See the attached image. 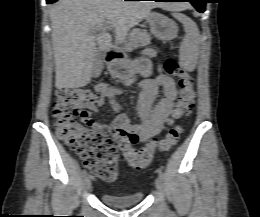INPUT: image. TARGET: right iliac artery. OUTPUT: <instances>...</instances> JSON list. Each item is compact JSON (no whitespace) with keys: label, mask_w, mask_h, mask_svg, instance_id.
Returning <instances> with one entry per match:
<instances>
[{"label":"right iliac artery","mask_w":260,"mask_h":217,"mask_svg":"<svg viewBox=\"0 0 260 217\" xmlns=\"http://www.w3.org/2000/svg\"><path fill=\"white\" fill-rule=\"evenodd\" d=\"M82 174H83V177H86V176H87V171L84 170V171L82 172Z\"/></svg>","instance_id":"right-iliac-artery-1"}]
</instances>
